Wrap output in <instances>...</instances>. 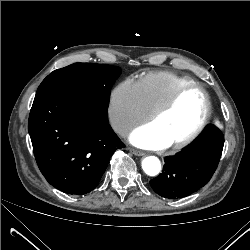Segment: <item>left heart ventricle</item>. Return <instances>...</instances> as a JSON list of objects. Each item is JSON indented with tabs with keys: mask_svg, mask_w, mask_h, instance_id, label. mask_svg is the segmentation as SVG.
Wrapping results in <instances>:
<instances>
[{
	"mask_svg": "<svg viewBox=\"0 0 250 250\" xmlns=\"http://www.w3.org/2000/svg\"><path fill=\"white\" fill-rule=\"evenodd\" d=\"M205 106L200 90H188L167 114L152 124L170 143H174L188 136L199 125Z\"/></svg>",
	"mask_w": 250,
	"mask_h": 250,
	"instance_id": "left-heart-ventricle-1",
	"label": "left heart ventricle"
}]
</instances>
